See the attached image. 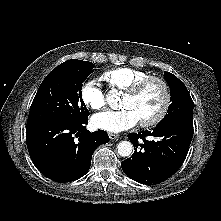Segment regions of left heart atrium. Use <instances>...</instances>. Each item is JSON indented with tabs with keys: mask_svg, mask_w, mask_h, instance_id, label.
Instances as JSON below:
<instances>
[{
	"mask_svg": "<svg viewBox=\"0 0 221 221\" xmlns=\"http://www.w3.org/2000/svg\"><path fill=\"white\" fill-rule=\"evenodd\" d=\"M135 112L129 108L119 111H106L93 116L92 123L96 128L108 132H121L139 123Z\"/></svg>",
	"mask_w": 221,
	"mask_h": 221,
	"instance_id": "left-heart-atrium-1",
	"label": "left heart atrium"
}]
</instances>
